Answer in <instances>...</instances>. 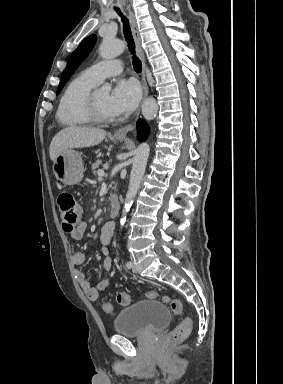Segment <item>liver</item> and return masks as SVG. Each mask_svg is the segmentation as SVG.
I'll list each match as a JSON object with an SVG mask.
<instances>
[{
    "label": "liver",
    "instance_id": "1",
    "mask_svg": "<svg viewBox=\"0 0 283 384\" xmlns=\"http://www.w3.org/2000/svg\"><path fill=\"white\" fill-rule=\"evenodd\" d=\"M107 132L97 128H85V126H69L54 136L49 154L52 162H55L58 154H63L72 148H90L97 146L104 140Z\"/></svg>",
    "mask_w": 283,
    "mask_h": 384
}]
</instances>
